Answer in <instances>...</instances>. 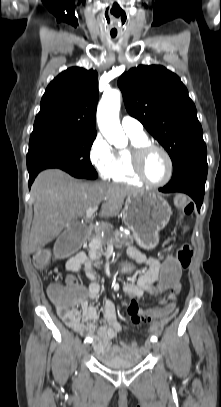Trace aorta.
Here are the masks:
<instances>
[{"label": "aorta", "instance_id": "1", "mask_svg": "<svg viewBox=\"0 0 221 407\" xmlns=\"http://www.w3.org/2000/svg\"><path fill=\"white\" fill-rule=\"evenodd\" d=\"M119 90L105 92L97 108V122L103 136L110 144L121 146L126 137L119 121L121 107Z\"/></svg>", "mask_w": 221, "mask_h": 407}]
</instances>
